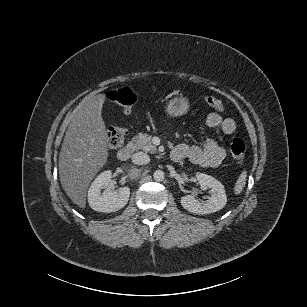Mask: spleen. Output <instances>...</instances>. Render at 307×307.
I'll return each instance as SVG.
<instances>
[{
  "label": "spleen",
  "mask_w": 307,
  "mask_h": 307,
  "mask_svg": "<svg viewBox=\"0 0 307 307\" xmlns=\"http://www.w3.org/2000/svg\"><path fill=\"white\" fill-rule=\"evenodd\" d=\"M247 179H248V170L246 168H244L240 174L238 175L234 186H233V192L235 195L241 194L243 189L246 186L247 183Z\"/></svg>",
  "instance_id": "1"
}]
</instances>
